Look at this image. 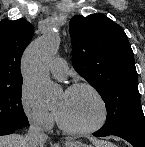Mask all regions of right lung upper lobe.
Returning <instances> with one entry per match:
<instances>
[{
  "label": "right lung upper lobe",
  "mask_w": 145,
  "mask_h": 147,
  "mask_svg": "<svg viewBox=\"0 0 145 147\" xmlns=\"http://www.w3.org/2000/svg\"><path fill=\"white\" fill-rule=\"evenodd\" d=\"M33 31L32 24L25 19L0 22V86L23 82L20 59Z\"/></svg>",
  "instance_id": "cb5924a9"
}]
</instances>
